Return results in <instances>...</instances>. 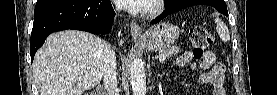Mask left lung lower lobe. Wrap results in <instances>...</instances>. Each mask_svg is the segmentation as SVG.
<instances>
[{
  "label": "left lung lower lobe",
  "mask_w": 277,
  "mask_h": 95,
  "mask_svg": "<svg viewBox=\"0 0 277 95\" xmlns=\"http://www.w3.org/2000/svg\"><path fill=\"white\" fill-rule=\"evenodd\" d=\"M200 4L213 6L222 14L226 16L228 15L227 7L224 0H179L171 4L170 6L165 7V11L163 12V14L158 18L154 19L153 21H151V24H156L162 19H164L166 16L174 12H177L181 9H184L186 7H190L193 5H200Z\"/></svg>",
  "instance_id": "0a47b994"
}]
</instances>
